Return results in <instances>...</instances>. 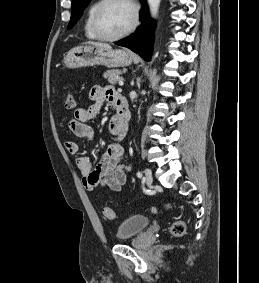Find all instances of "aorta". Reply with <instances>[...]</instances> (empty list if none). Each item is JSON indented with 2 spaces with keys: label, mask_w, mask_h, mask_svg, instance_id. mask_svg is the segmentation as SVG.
<instances>
[{
  "label": "aorta",
  "mask_w": 259,
  "mask_h": 283,
  "mask_svg": "<svg viewBox=\"0 0 259 283\" xmlns=\"http://www.w3.org/2000/svg\"><path fill=\"white\" fill-rule=\"evenodd\" d=\"M161 0H148L149 10L152 17H156L158 14Z\"/></svg>",
  "instance_id": "1"
}]
</instances>
